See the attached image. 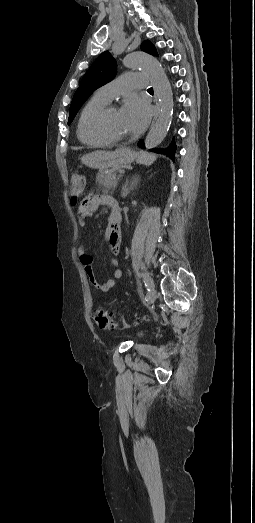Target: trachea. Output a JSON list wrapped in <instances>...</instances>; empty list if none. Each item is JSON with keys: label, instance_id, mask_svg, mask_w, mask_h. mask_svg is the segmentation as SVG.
I'll return each mask as SVG.
<instances>
[{"label": "trachea", "instance_id": "1", "mask_svg": "<svg viewBox=\"0 0 255 523\" xmlns=\"http://www.w3.org/2000/svg\"><path fill=\"white\" fill-rule=\"evenodd\" d=\"M147 92H152L153 93V88H148Z\"/></svg>", "mask_w": 255, "mask_h": 523}]
</instances>
